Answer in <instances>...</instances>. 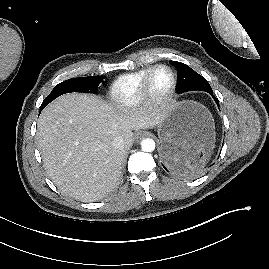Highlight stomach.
<instances>
[{
	"label": "stomach",
	"mask_w": 269,
	"mask_h": 269,
	"mask_svg": "<svg viewBox=\"0 0 269 269\" xmlns=\"http://www.w3.org/2000/svg\"><path fill=\"white\" fill-rule=\"evenodd\" d=\"M157 128L161 154L166 145H176L182 156L181 167H199L213 152V118L200 103L189 100L172 103L165 110Z\"/></svg>",
	"instance_id": "obj_1"
}]
</instances>
